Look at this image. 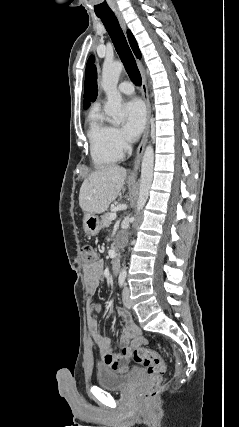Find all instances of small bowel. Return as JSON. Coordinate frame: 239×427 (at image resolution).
Instances as JSON below:
<instances>
[{
    "label": "small bowel",
    "instance_id": "obj_1",
    "mask_svg": "<svg viewBox=\"0 0 239 427\" xmlns=\"http://www.w3.org/2000/svg\"><path fill=\"white\" fill-rule=\"evenodd\" d=\"M103 272L104 262L102 260H96L93 264L84 267L85 279L91 293H94L98 289L103 278ZM98 310L99 306L93 303L90 326L92 329L93 341L100 352L103 364L110 370L125 372L128 369V354L114 352L110 339L99 332V323L95 316ZM117 311L125 323L121 342L129 345L128 351L138 349L146 343V340L141 336L140 328L133 322L128 310L120 307Z\"/></svg>",
    "mask_w": 239,
    "mask_h": 427
}]
</instances>
